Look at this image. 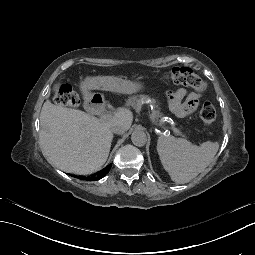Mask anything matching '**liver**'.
Instances as JSON below:
<instances>
[{
  "label": "liver",
  "mask_w": 255,
  "mask_h": 255,
  "mask_svg": "<svg viewBox=\"0 0 255 255\" xmlns=\"http://www.w3.org/2000/svg\"><path fill=\"white\" fill-rule=\"evenodd\" d=\"M109 90L122 93L117 76H101ZM134 114L117 108L104 122L84 111L54 105L47 100L40 114V140L44 155L59 169L88 174L99 170L107 161L114 138L111 126L122 123L131 128Z\"/></svg>",
  "instance_id": "6515ba94"
}]
</instances>
